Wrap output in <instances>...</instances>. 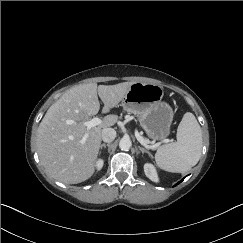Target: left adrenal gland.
Returning <instances> with one entry per match:
<instances>
[{
  "mask_svg": "<svg viewBox=\"0 0 243 243\" xmlns=\"http://www.w3.org/2000/svg\"><path fill=\"white\" fill-rule=\"evenodd\" d=\"M138 148H139V150L142 152V154L147 153L149 156L152 157L151 153H150L149 151L145 150L143 147L138 146Z\"/></svg>",
  "mask_w": 243,
  "mask_h": 243,
  "instance_id": "obj_1",
  "label": "left adrenal gland"
}]
</instances>
